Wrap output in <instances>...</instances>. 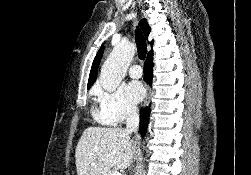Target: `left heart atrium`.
Listing matches in <instances>:
<instances>
[{
	"label": "left heart atrium",
	"mask_w": 251,
	"mask_h": 175,
	"mask_svg": "<svg viewBox=\"0 0 251 175\" xmlns=\"http://www.w3.org/2000/svg\"><path fill=\"white\" fill-rule=\"evenodd\" d=\"M126 94L131 102H138L144 97L145 88L141 82L133 80L127 84Z\"/></svg>",
	"instance_id": "39dd6f15"
}]
</instances>
